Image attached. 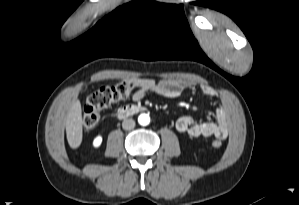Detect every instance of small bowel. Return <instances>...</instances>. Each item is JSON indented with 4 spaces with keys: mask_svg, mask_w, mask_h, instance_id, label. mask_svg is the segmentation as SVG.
I'll return each instance as SVG.
<instances>
[{
    "mask_svg": "<svg viewBox=\"0 0 299 205\" xmlns=\"http://www.w3.org/2000/svg\"><path fill=\"white\" fill-rule=\"evenodd\" d=\"M137 80L139 86L132 94V99L136 102L141 101L148 94H156L165 98H177L183 91L195 85L193 81L184 78L162 79L158 82L151 78ZM200 92L202 96L207 99L216 97L215 91L206 85L200 86ZM229 125L230 118L224 103H220L216 107L215 121L198 122L193 117L183 116L177 119L175 123L178 132L187 134L193 138L215 136L220 139H225L229 132Z\"/></svg>",
    "mask_w": 299,
    "mask_h": 205,
    "instance_id": "small-bowel-1",
    "label": "small bowel"
}]
</instances>
